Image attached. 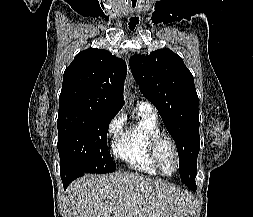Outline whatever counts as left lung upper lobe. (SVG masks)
<instances>
[{
	"mask_svg": "<svg viewBox=\"0 0 253 217\" xmlns=\"http://www.w3.org/2000/svg\"><path fill=\"white\" fill-rule=\"evenodd\" d=\"M141 93L157 108L175 141L181 181L195 186L199 153L198 96L191 72L182 58L168 48L129 60Z\"/></svg>",
	"mask_w": 253,
	"mask_h": 217,
	"instance_id": "obj_1",
	"label": "left lung upper lobe"
}]
</instances>
